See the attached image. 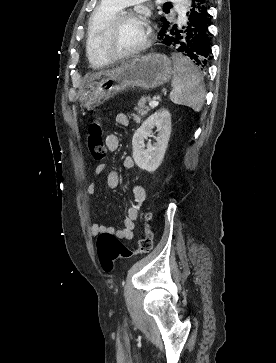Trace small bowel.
<instances>
[{
  "instance_id": "c3829d8e",
  "label": "small bowel",
  "mask_w": 276,
  "mask_h": 363,
  "mask_svg": "<svg viewBox=\"0 0 276 363\" xmlns=\"http://www.w3.org/2000/svg\"><path fill=\"white\" fill-rule=\"evenodd\" d=\"M115 122L119 126H128L129 119L126 114L119 113L115 117ZM120 146V140L117 135L109 134L106 137V147L109 151H116ZM123 166L126 169H133L135 164L131 157H126L123 161ZM105 165L97 166L95 173L97 175L101 174L105 171ZM106 184L110 189H116L120 184L119 174L115 170L108 171L106 174ZM87 194L89 196H93L96 192V185L92 181L87 186ZM133 197H134V205H132L126 214V217L123 219L122 226L119 229H115L113 227H106L99 223H93L90 227V232L92 235H98L101 233H110L123 240H132L134 238V230L136 221L140 216V212L142 206L144 204L146 193L142 186L137 185L133 189Z\"/></svg>"
}]
</instances>
